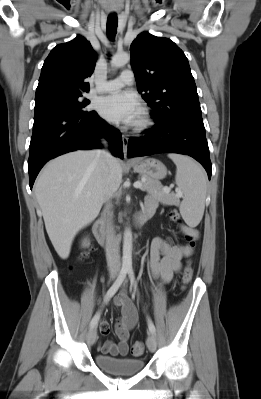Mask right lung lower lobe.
I'll return each mask as SVG.
<instances>
[{"instance_id":"98d812e1","label":"right lung lower lobe","mask_w":261,"mask_h":399,"mask_svg":"<svg viewBox=\"0 0 261 399\" xmlns=\"http://www.w3.org/2000/svg\"><path fill=\"white\" fill-rule=\"evenodd\" d=\"M101 136L108 138L113 155L123 158L121 134L96 112L90 116H78L63 110L35 114L28 160L30 188L50 159L77 149L101 148Z\"/></svg>"}]
</instances>
